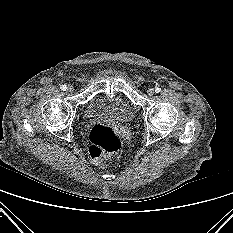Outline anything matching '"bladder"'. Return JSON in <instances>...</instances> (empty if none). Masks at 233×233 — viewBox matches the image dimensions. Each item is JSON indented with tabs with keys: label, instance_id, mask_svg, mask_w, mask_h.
Segmentation results:
<instances>
[{
	"label": "bladder",
	"instance_id": "31cf9c89",
	"mask_svg": "<svg viewBox=\"0 0 233 233\" xmlns=\"http://www.w3.org/2000/svg\"><path fill=\"white\" fill-rule=\"evenodd\" d=\"M133 107L122 95H99L93 98L84 110L88 119L106 118L127 122L133 117Z\"/></svg>",
	"mask_w": 233,
	"mask_h": 233
}]
</instances>
